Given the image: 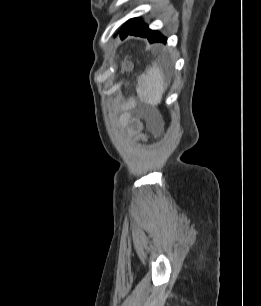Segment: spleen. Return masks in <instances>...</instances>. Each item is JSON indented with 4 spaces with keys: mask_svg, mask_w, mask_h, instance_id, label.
Segmentation results:
<instances>
[{
    "mask_svg": "<svg viewBox=\"0 0 261 306\" xmlns=\"http://www.w3.org/2000/svg\"><path fill=\"white\" fill-rule=\"evenodd\" d=\"M164 74L157 63L146 69V73L138 79L137 94L147 104L157 105L161 102L163 93L167 89Z\"/></svg>",
    "mask_w": 261,
    "mask_h": 306,
    "instance_id": "1",
    "label": "spleen"
}]
</instances>
